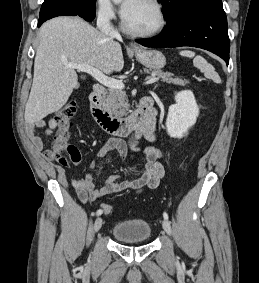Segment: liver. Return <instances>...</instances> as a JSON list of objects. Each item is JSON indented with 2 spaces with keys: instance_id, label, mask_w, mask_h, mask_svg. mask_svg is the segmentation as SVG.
Masks as SVG:
<instances>
[{
  "instance_id": "1",
  "label": "liver",
  "mask_w": 259,
  "mask_h": 283,
  "mask_svg": "<svg viewBox=\"0 0 259 283\" xmlns=\"http://www.w3.org/2000/svg\"><path fill=\"white\" fill-rule=\"evenodd\" d=\"M70 63L89 65L105 74L121 71L124 59L118 42L79 17H56L39 30L34 77L25 107V121L36 123L60 110L78 82Z\"/></svg>"
}]
</instances>
